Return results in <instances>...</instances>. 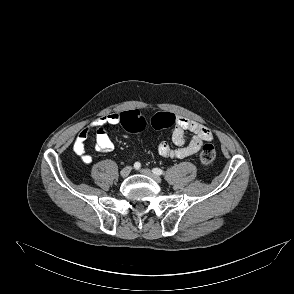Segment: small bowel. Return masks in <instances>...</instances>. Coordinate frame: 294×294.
Returning a JSON list of instances; mask_svg holds the SVG:
<instances>
[{
    "instance_id": "c3829d8e",
    "label": "small bowel",
    "mask_w": 294,
    "mask_h": 294,
    "mask_svg": "<svg viewBox=\"0 0 294 294\" xmlns=\"http://www.w3.org/2000/svg\"><path fill=\"white\" fill-rule=\"evenodd\" d=\"M119 113H110L94 120L91 125L83 128L74 143V152L85 164H90L92 156L85 151V141L94 130L96 134L95 150L107 153L113 150L114 144L105 131L107 125H117L120 121ZM192 133V138L187 141V133ZM212 140V133L209 128L194 120L183 116H175L172 142L176 146L171 147L167 142L162 141L157 146V152L164 158L183 159L196 154L203 143Z\"/></svg>"
}]
</instances>
